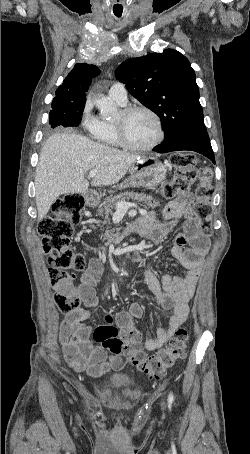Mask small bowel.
<instances>
[{
	"label": "small bowel",
	"mask_w": 250,
	"mask_h": 454,
	"mask_svg": "<svg viewBox=\"0 0 250 454\" xmlns=\"http://www.w3.org/2000/svg\"><path fill=\"white\" fill-rule=\"evenodd\" d=\"M192 196L185 193L169 202L162 211L161 222L152 216L140 221L136 226L143 237L154 242L162 240L177 224L184 219V232L176 238L171 254L179 260L187 270L183 276L162 275L158 280L156 275L145 270L144 281L148 290L156 297L158 304L164 309L173 311L166 325L161 327L156 337L145 341L147 351H155L169 341L174 331L186 320L188 302L193 296L201 273L204 256L208 250V238L198 227L196 219L191 216ZM188 248H184L185 245ZM103 267L98 259H91L86 270L82 273L77 293L86 309L67 314L59 329V343L63 356L75 372H84L91 378H97L111 369H121L125 359L121 355L108 354L102 347L92 344L90 334L92 327L83 322L95 314L98 298L95 285L99 281ZM144 308L140 303H134L128 312H119L117 318L128 314L133 319L142 317Z\"/></svg>",
	"instance_id": "c3829d8e"
}]
</instances>
